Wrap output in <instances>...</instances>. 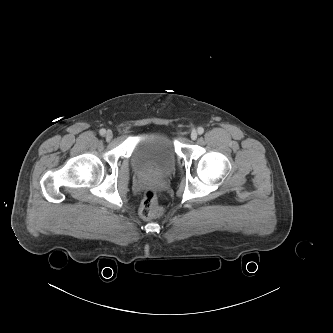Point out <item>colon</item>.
<instances>
[{
  "label": "colon",
  "mask_w": 333,
  "mask_h": 333,
  "mask_svg": "<svg viewBox=\"0 0 333 333\" xmlns=\"http://www.w3.org/2000/svg\"><path fill=\"white\" fill-rule=\"evenodd\" d=\"M139 213L145 220L155 219L163 214V207L159 205L157 196L153 190L145 192Z\"/></svg>",
  "instance_id": "colon-1"
}]
</instances>
